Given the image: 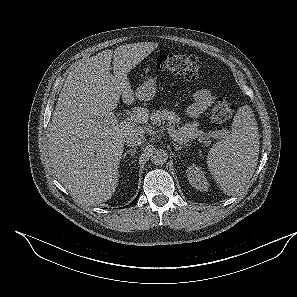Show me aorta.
<instances>
[{"label":"aorta","mask_w":297,"mask_h":297,"mask_svg":"<svg viewBox=\"0 0 297 297\" xmlns=\"http://www.w3.org/2000/svg\"><path fill=\"white\" fill-rule=\"evenodd\" d=\"M168 159V154L163 149H155L151 152V162L155 165H163Z\"/></svg>","instance_id":"1"}]
</instances>
